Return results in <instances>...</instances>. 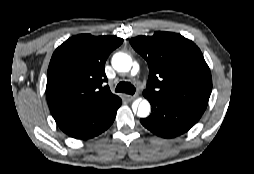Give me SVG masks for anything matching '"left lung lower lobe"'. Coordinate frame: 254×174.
<instances>
[{
	"label": "left lung lower lobe",
	"instance_id": "left-lung-lower-lobe-1",
	"mask_svg": "<svg viewBox=\"0 0 254 174\" xmlns=\"http://www.w3.org/2000/svg\"><path fill=\"white\" fill-rule=\"evenodd\" d=\"M151 106L152 114L141 119V124L154 134L173 138L187 132L198 122L202 114L181 106H171L166 102L146 97Z\"/></svg>",
	"mask_w": 254,
	"mask_h": 174
}]
</instances>
